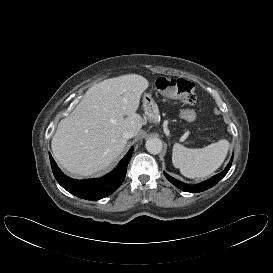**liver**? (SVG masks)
Masks as SVG:
<instances>
[{"instance_id": "6515ba94", "label": "liver", "mask_w": 273, "mask_h": 273, "mask_svg": "<svg viewBox=\"0 0 273 273\" xmlns=\"http://www.w3.org/2000/svg\"><path fill=\"white\" fill-rule=\"evenodd\" d=\"M146 78L128 74L92 86L75 109L62 119L52 138L53 155L76 176L105 170L124 150L126 130L135 136L143 125L137 114Z\"/></svg>"}]
</instances>
